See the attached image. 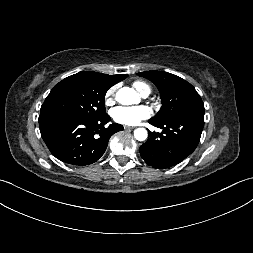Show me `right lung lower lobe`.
I'll use <instances>...</instances> for the list:
<instances>
[{"label":"right lung lower lobe","mask_w":253,"mask_h":253,"mask_svg":"<svg viewBox=\"0 0 253 253\" xmlns=\"http://www.w3.org/2000/svg\"><path fill=\"white\" fill-rule=\"evenodd\" d=\"M107 114L98 118L69 115L39 116L41 136L50 152L59 160L77 166L96 162L105 152L109 138L123 130L111 124Z\"/></svg>","instance_id":"obj_1"}]
</instances>
